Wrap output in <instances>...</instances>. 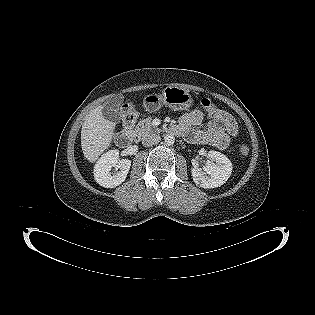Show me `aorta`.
Segmentation results:
<instances>
[{
  "mask_svg": "<svg viewBox=\"0 0 315 315\" xmlns=\"http://www.w3.org/2000/svg\"><path fill=\"white\" fill-rule=\"evenodd\" d=\"M164 141L167 145H173L174 142H175V137L171 134H167L165 137H164Z\"/></svg>",
  "mask_w": 315,
  "mask_h": 315,
  "instance_id": "aorta-1",
  "label": "aorta"
}]
</instances>
